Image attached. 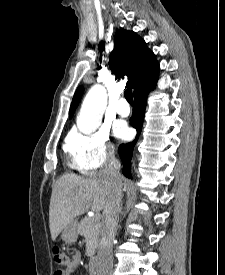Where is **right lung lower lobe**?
<instances>
[{"label":"right lung lower lobe","instance_id":"obj_1","mask_svg":"<svg viewBox=\"0 0 225 275\" xmlns=\"http://www.w3.org/2000/svg\"><path fill=\"white\" fill-rule=\"evenodd\" d=\"M156 82H157V75L149 79V81L145 84L144 88L140 90L136 95H134L135 108L133 109V115L130 119V124L137 130L138 134L134 141L127 144H121L118 149L120 158L123 163L122 173L126 177H131L130 160L132 158L133 148L142 130L147 94L149 93L150 90L155 88Z\"/></svg>","mask_w":225,"mask_h":275}]
</instances>
